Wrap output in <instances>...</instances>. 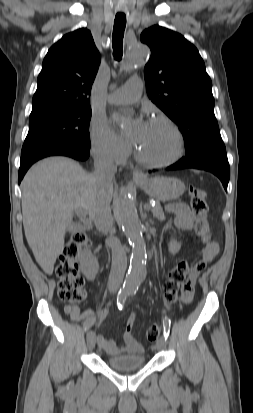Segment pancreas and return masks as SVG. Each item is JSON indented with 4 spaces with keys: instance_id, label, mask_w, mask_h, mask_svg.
I'll return each mask as SVG.
<instances>
[{
    "instance_id": "cf45deb5",
    "label": "pancreas",
    "mask_w": 253,
    "mask_h": 413,
    "mask_svg": "<svg viewBox=\"0 0 253 413\" xmlns=\"http://www.w3.org/2000/svg\"><path fill=\"white\" fill-rule=\"evenodd\" d=\"M152 213L153 216L159 220H164L165 216H164V212L160 206V204H157L155 207H153L152 209Z\"/></svg>"
}]
</instances>
